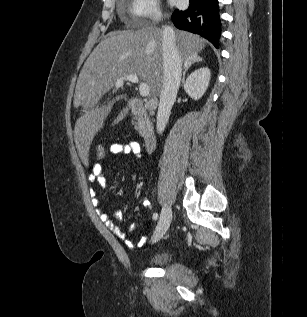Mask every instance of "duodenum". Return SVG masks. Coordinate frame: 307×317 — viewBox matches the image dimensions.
<instances>
[{"label":"duodenum","mask_w":307,"mask_h":317,"mask_svg":"<svg viewBox=\"0 0 307 317\" xmlns=\"http://www.w3.org/2000/svg\"><path fill=\"white\" fill-rule=\"evenodd\" d=\"M130 111L140 119V128L145 148L147 151H151L156 143V134L151 122L149 121L146 106L140 100L132 99L130 101Z\"/></svg>","instance_id":"1"}]
</instances>
